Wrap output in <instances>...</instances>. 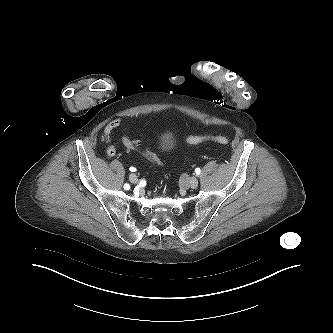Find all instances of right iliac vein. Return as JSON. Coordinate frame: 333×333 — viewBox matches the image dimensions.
I'll use <instances>...</instances> for the list:
<instances>
[{
    "mask_svg": "<svg viewBox=\"0 0 333 333\" xmlns=\"http://www.w3.org/2000/svg\"><path fill=\"white\" fill-rule=\"evenodd\" d=\"M129 179H130V181L133 183V184H136L137 182H138V178H137V176L135 175V174H130V176H129Z\"/></svg>",
    "mask_w": 333,
    "mask_h": 333,
    "instance_id": "1",
    "label": "right iliac vein"
}]
</instances>
